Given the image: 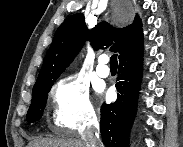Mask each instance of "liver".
<instances>
[{"mask_svg": "<svg viewBox=\"0 0 183 147\" xmlns=\"http://www.w3.org/2000/svg\"><path fill=\"white\" fill-rule=\"evenodd\" d=\"M28 147H86L79 139L43 138L29 143Z\"/></svg>", "mask_w": 183, "mask_h": 147, "instance_id": "1", "label": "liver"}]
</instances>
